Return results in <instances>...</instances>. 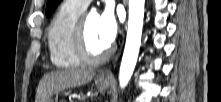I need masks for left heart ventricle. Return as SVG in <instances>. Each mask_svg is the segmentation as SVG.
Here are the masks:
<instances>
[{
	"label": "left heart ventricle",
	"instance_id": "b2bd125f",
	"mask_svg": "<svg viewBox=\"0 0 221 102\" xmlns=\"http://www.w3.org/2000/svg\"><path fill=\"white\" fill-rule=\"evenodd\" d=\"M86 39L91 53L99 54L104 51L108 45L101 41L98 35V16L90 14L86 16Z\"/></svg>",
	"mask_w": 221,
	"mask_h": 102
}]
</instances>
